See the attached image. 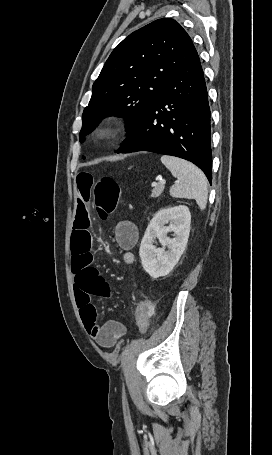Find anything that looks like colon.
I'll return each instance as SVG.
<instances>
[{
  "mask_svg": "<svg viewBox=\"0 0 272 455\" xmlns=\"http://www.w3.org/2000/svg\"><path fill=\"white\" fill-rule=\"evenodd\" d=\"M120 197L121 190L114 179L102 177L96 181L93 190V200L95 209L102 219H106L114 213ZM153 313L154 308L151 302L141 301L137 304L135 319L141 334L147 332Z\"/></svg>",
  "mask_w": 272,
  "mask_h": 455,
  "instance_id": "obj_1",
  "label": "colon"
}]
</instances>
